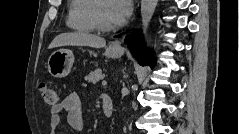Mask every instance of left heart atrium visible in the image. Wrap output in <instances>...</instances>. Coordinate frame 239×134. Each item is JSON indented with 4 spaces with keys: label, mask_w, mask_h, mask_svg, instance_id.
Here are the masks:
<instances>
[{
    "label": "left heart atrium",
    "mask_w": 239,
    "mask_h": 134,
    "mask_svg": "<svg viewBox=\"0 0 239 134\" xmlns=\"http://www.w3.org/2000/svg\"><path fill=\"white\" fill-rule=\"evenodd\" d=\"M109 10L114 24L120 25L131 14L132 3L130 0H112L109 2Z\"/></svg>",
    "instance_id": "1"
}]
</instances>
